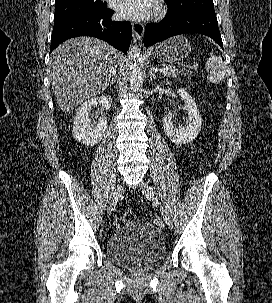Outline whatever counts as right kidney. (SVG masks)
I'll return each mask as SVG.
<instances>
[{
	"mask_svg": "<svg viewBox=\"0 0 272 303\" xmlns=\"http://www.w3.org/2000/svg\"><path fill=\"white\" fill-rule=\"evenodd\" d=\"M112 99L109 95H102L97 98L88 99L78 109L74 118L73 137L87 146H93L99 143L107 130V117L104 115L99 118L95 125L90 116L93 106L101 105L102 110H108L111 107Z\"/></svg>",
	"mask_w": 272,
	"mask_h": 303,
	"instance_id": "right-kidney-1",
	"label": "right kidney"
}]
</instances>
